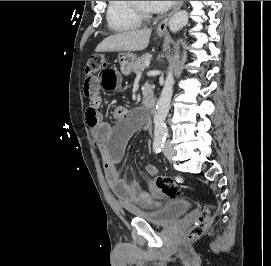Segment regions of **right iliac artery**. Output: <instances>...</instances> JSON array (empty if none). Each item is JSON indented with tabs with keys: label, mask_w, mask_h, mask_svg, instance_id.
Listing matches in <instances>:
<instances>
[{
	"label": "right iliac artery",
	"mask_w": 271,
	"mask_h": 266,
	"mask_svg": "<svg viewBox=\"0 0 271 266\" xmlns=\"http://www.w3.org/2000/svg\"><path fill=\"white\" fill-rule=\"evenodd\" d=\"M163 148V143L161 141L154 142L153 149L155 153H160Z\"/></svg>",
	"instance_id": "82829eb1"
}]
</instances>
